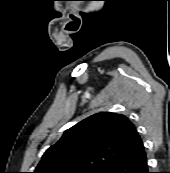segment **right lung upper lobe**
<instances>
[{"label": "right lung upper lobe", "instance_id": "1", "mask_svg": "<svg viewBox=\"0 0 170 173\" xmlns=\"http://www.w3.org/2000/svg\"><path fill=\"white\" fill-rule=\"evenodd\" d=\"M142 147L135 125L126 116L101 112L66 130L46 150L34 173L105 170Z\"/></svg>", "mask_w": 170, "mask_h": 173}]
</instances>
